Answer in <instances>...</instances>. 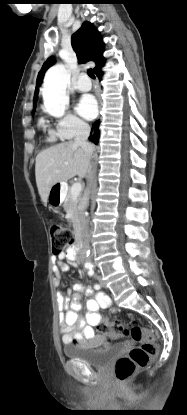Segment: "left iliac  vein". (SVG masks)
I'll return each instance as SVG.
<instances>
[{"label":"left iliac vein","instance_id":"4c4485c4","mask_svg":"<svg viewBox=\"0 0 187 415\" xmlns=\"http://www.w3.org/2000/svg\"><path fill=\"white\" fill-rule=\"evenodd\" d=\"M97 279H98V281H99L100 285L103 287V286H104V284H103V281H102L101 276H100V275H98V276H97Z\"/></svg>","mask_w":187,"mask_h":415}]
</instances>
